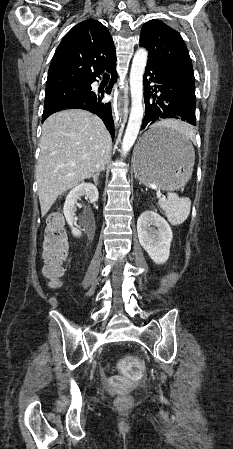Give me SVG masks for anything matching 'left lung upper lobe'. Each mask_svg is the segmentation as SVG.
<instances>
[{
  "instance_id": "1",
  "label": "left lung upper lobe",
  "mask_w": 233,
  "mask_h": 449,
  "mask_svg": "<svg viewBox=\"0 0 233 449\" xmlns=\"http://www.w3.org/2000/svg\"><path fill=\"white\" fill-rule=\"evenodd\" d=\"M140 46L148 50V62L195 87L191 58L181 35L160 20L144 24Z\"/></svg>"
}]
</instances>
